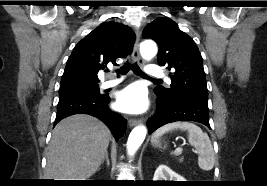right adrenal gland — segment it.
<instances>
[{
	"label": "right adrenal gland",
	"mask_w": 267,
	"mask_h": 186,
	"mask_svg": "<svg viewBox=\"0 0 267 186\" xmlns=\"http://www.w3.org/2000/svg\"><path fill=\"white\" fill-rule=\"evenodd\" d=\"M104 161H106L107 166L110 165V161H109V157H108V151H106L105 156H104V158H103V160L101 162L102 165L104 164Z\"/></svg>",
	"instance_id": "obj_1"
}]
</instances>
